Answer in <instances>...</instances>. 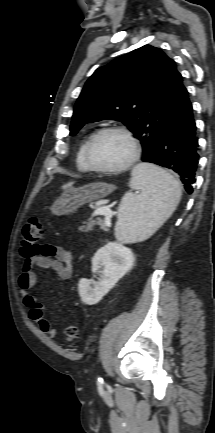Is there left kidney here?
Listing matches in <instances>:
<instances>
[{"label":"left kidney","instance_id":"5707ae66","mask_svg":"<svg viewBox=\"0 0 215 433\" xmlns=\"http://www.w3.org/2000/svg\"><path fill=\"white\" fill-rule=\"evenodd\" d=\"M134 261L132 250L120 243L109 242L100 248L92 259V272L100 274L101 279L97 283L80 279L78 292L81 301L87 305L98 303L132 268Z\"/></svg>","mask_w":215,"mask_h":433}]
</instances>
